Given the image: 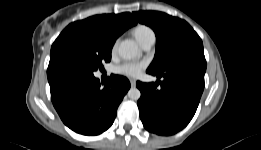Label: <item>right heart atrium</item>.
I'll return each mask as SVG.
<instances>
[{
    "label": "right heart atrium",
    "instance_id": "1",
    "mask_svg": "<svg viewBox=\"0 0 261 150\" xmlns=\"http://www.w3.org/2000/svg\"><path fill=\"white\" fill-rule=\"evenodd\" d=\"M115 50H116V44L113 45L112 52H115Z\"/></svg>",
    "mask_w": 261,
    "mask_h": 150
}]
</instances>
